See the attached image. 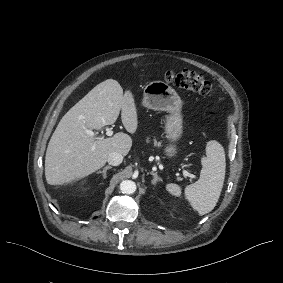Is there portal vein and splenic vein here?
Instances as JSON below:
<instances>
[{
    "mask_svg": "<svg viewBox=\"0 0 283 283\" xmlns=\"http://www.w3.org/2000/svg\"><path fill=\"white\" fill-rule=\"evenodd\" d=\"M87 134L92 136V137H96V139H103L106 136L111 137L113 135V132L111 130H107L106 134H96L95 132L88 130ZM183 171H186V170H183Z\"/></svg>",
    "mask_w": 283,
    "mask_h": 283,
    "instance_id": "18ae733b",
    "label": "portal vein and splenic vein"
}]
</instances>
